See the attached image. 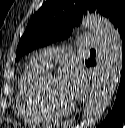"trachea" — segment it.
Returning a JSON list of instances; mask_svg holds the SVG:
<instances>
[{"label":"trachea","instance_id":"3493384b","mask_svg":"<svg viewBox=\"0 0 125 128\" xmlns=\"http://www.w3.org/2000/svg\"><path fill=\"white\" fill-rule=\"evenodd\" d=\"M90 51H95L94 49H91Z\"/></svg>","mask_w":125,"mask_h":128}]
</instances>
